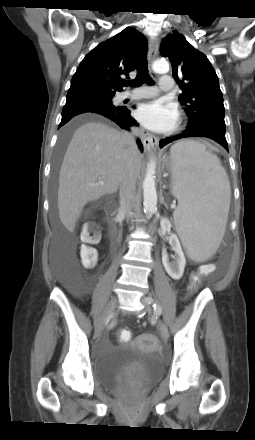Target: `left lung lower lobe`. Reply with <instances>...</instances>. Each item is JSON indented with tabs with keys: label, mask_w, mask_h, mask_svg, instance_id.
<instances>
[{
	"label": "left lung lower lobe",
	"mask_w": 255,
	"mask_h": 440,
	"mask_svg": "<svg viewBox=\"0 0 255 440\" xmlns=\"http://www.w3.org/2000/svg\"><path fill=\"white\" fill-rule=\"evenodd\" d=\"M186 137L210 138L216 141L217 143H219L221 146H223L228 152V144L225 138V127L213 123L202 124L196 127H192L188 125L183 133L174 137H169L161 140L159 146L162 148L163 146H165L170 142Z\"/></svg>",
	"instance_id": "1"
}]
</instances>
